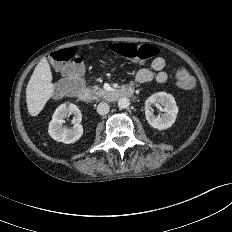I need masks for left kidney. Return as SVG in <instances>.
Returning a JSON list of instances; mask_svg holds the SVG:
<instances>
[{
    "label": "left kidney",
    "instance_id": "5707ae66",
    "mask_svg": "<svg viewBox=\"0 0 232 232\" xmlns=\"http://www.w3.org/2000/svg\"><path fill=\"white\" fill-rule=\"evenodd\" d=\"M161 104L164 107V114L161 117H156L150 111L152 105ZM178 114V106L175 98L166 92H158L145 101V116L148 123L155 129L164 130L174 124Z\"/></svg>",
    "mask_w": 232,
    "mask_h": 232
}]
</instances>
